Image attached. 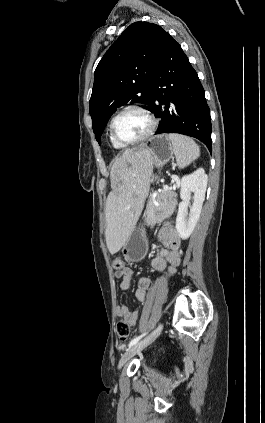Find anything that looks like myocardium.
<instances>
[{"label":"myocardium","instance_id":"obj_1","mask_svg":"<svg viewBox=\"0 0 265 423\" xmlns=\"http://www.w3.org/2000/svg\"><path fill=\"white\" fill-rule=\"evenodd\" d=\"M129 111H136V112L143 114L149 121V128H148L147 132L144 135H142L141 137H139L135 140H131V141H124V140L119 139L116 136V134L114 132V123L119 116H121L122 114L129 112ZM156 128H157V120H156L155 116L151 113V111L149 109H147L146 107L139 105V104H130V105H127V106L121 108L112 117V119L110 120V124H109V132H110L111 138L115 142H117L120 145H123L125 147L129 146V145L138 144V143H141V142L147 140L149 137H151L155 133Z\"/></svg>","mask_w":265,"mask_h":423}]
</instances>
